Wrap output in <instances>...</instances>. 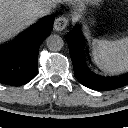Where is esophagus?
Returning a JSON list of instances; mask_svg holds the SVG:
<instances>
[{
  "label": "esophagus",
  "instance_id": "esophagus-1",
  "mask_svg": "<svg viewBox=\"0 0 128 128\" xmlns=\"http://www.w3.org/2000/svg\"><path fill=\"white\" fill-rule=\"evenodd\" d=\"M68 23L69 21L66 17L60 16L54 22V30L58 32L63 31L67 27Z\"/></svg>",
  "mask_w": 128,
  "mask_h": 128
}]
</instances>
